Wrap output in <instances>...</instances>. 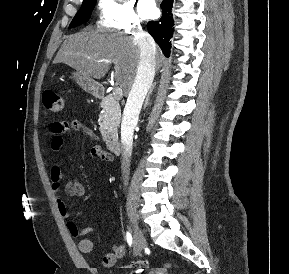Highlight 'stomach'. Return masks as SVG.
<instances>
[{
    "instance_id": "obj_1",
    "label": "stomach",
    "mask_w": 289,
    "mask_h": 274,
    "mask_svg": "<svg viewBox=\"0 0 289 274\" xmlns=\"http://www.w3.org/2000/svg\"><path fill=\"white\" fill-rule=\"evenodd\" d=\"M72 78L87 93H90L93 95L98 93L99 85L91 77L76 71L72 73Z\"/></svg>"
}]
</instances>
